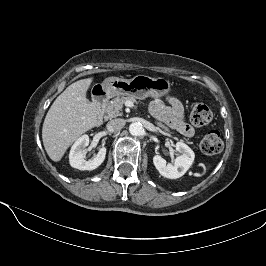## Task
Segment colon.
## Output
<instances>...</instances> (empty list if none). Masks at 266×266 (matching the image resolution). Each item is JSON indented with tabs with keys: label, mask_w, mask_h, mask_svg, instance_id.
<instances>
[{
	"label": "colon",
	"mask_w": 266,
	"mask_h": 266,
	"mask_svg": "<svg viewBox=\"0 0 266 266\" xmlns=\"http://www.w3.org/2000/svg\"><path fill=\"white\" fill-rule=\"evenodd\" d=\"M190 120L196 127L208 125L212 121V112L205 103L196 101L191 107ZM222 148L223 142L217 130L207 132L200 142V149L206 155L217 154Z\"/></svg>",
	"instance_id": "5ec220e1"
}]
</instances>
